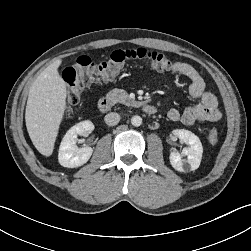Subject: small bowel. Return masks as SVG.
Instances as JSON below:
<instances>
[{"label": "small bowel", "mask_w": 251, "mask_h": 251, "mask_svg": "<svg viewBox=\"0 0 251 251\" xmlns=\"http://www.w3.org/2000/svg\"><path fill=\"white\" fill-rule=\"evenodd\" d=\"M173 71L190 80L189 95L200 100L183 111L171 108L167 112L168 119L173 122L180 121L187 126L219 120L221 113L218 110L217 98L214 94L205 90V82L198 71L185 62H177Z\"/></svg>", "instance_id": "small-bowel-1"}]
</instances>
